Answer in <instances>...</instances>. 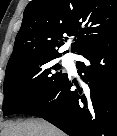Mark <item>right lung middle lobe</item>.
Instances as JSON below:
<instances>
[{
	"mask_svg": "<svg viewBox=\"0 0 117 136\" xmlns=\"http://www.w3.org/2000/svg\"><path fill=\"white\" fill-rule=\"evenodd\" d=\"M59 56H31L7 64L3 84V115L17 113L24 105L57 87L67 73L54 62Z\"/></svg>",
	"mask_w": 117,
	"mask_h": 136,
	"instance_id": "dd1d6c3e",
	"label": "right lung middle lobe"
}]
</instances>
